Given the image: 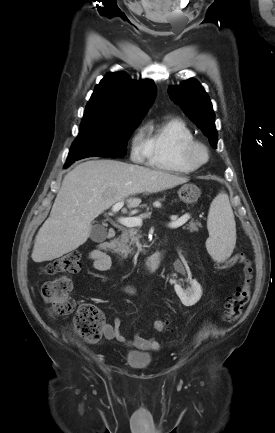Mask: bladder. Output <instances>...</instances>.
<instances>
[{
    "instance_id": "obj_1",
    "label": "bladder",
    "mask_w": 275,
    "mask_h": 433,
    "mask_svg": "<svg viewBox=\"0 0 275 433\" xmlns=\"http://www.w3.org/2000/svg\"><path fill=\"white\" fill-rule=\"evenodd\" d=\"M151 355L145 352L129 351L125 356L126 362L134 368H146L151 362Z\"/></svg>"
}]
</instances>
